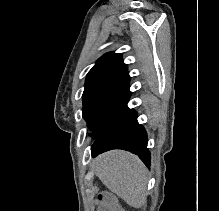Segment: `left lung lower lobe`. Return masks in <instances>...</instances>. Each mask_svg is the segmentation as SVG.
I'll list each match as a JSON object with an SVG mask.
<instances>
[{
	"label": "left lung lower lobe",
	"instance_id": "left-lung-lower-lobe-1",
	"mask_svg": "<svg viewBox=\"0 0 219 211\" xmlns=\"http://www.w3.org/2000/svg\"><path fill=\"white\" fill-rule=\"evenodd\" d=\"M112 149H123L137 154L146 166H150L147 133L138 123L135 110L130 109L111 132L96 139L91 147V153L95 157Z\"/></svg>",
	"mask_w": 219,
	"mask_h": 211
}]
</instances>
